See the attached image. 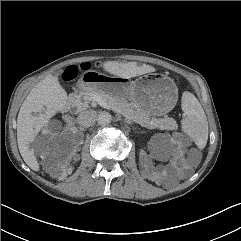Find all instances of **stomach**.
I'll use <instances>...</instances> for the list:
<instances>
[{
	"instance_id": "0dacf381",
	"label": "stomach",
	"mask_w": 241,
	"mask_h": 241,
	"mask_svg": "<svg viewBox=\"0 0 241 241\" xmlns=\"http://www.w3.org/2000/svg\"><path fill=\"white\" fill-rule=\"evenodd\" d=\"M83 90H94L116 99L130 100L142 111L154 116L165 115L177 103L178 89L174 81L164 73H150L134 81L119 77L100 75L79 80Z\"/></svg>"
}]
</instances>
